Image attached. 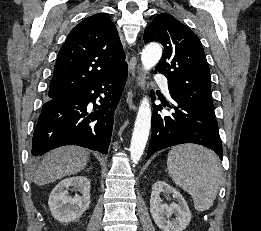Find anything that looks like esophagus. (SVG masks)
Listing matches in <instances>:
<instances>
[{"instance_id": "obj_1", "label": "esophagus", "mask_w": 261, "mask_h": 231, "mask_svg": "<svg viewBox=\"0 0 261 231\" xmlns=\"http://www.w3.org/2000/svg\"><path fill=\"white\" fill-rule=\"evenodd\" d=\"M135 83L141 88H144V84H145V78L144 75L142 73V70L140 68H138L135 72Z\"/></svg>"}]
</instances>
